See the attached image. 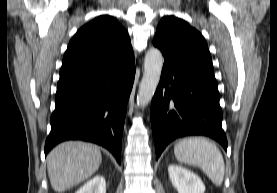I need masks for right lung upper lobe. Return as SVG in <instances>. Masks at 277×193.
Segmentation results:
<instances>
[{"label":"right lung upper lobe","mask_w":277,"mask_h":193,"mask_svg":"<svg viewBox=\"0 0 277 193\" xmlns=\"http://www.w3.org/2000/svg\"><path fill=\"white\" fill-rule=\"evenodd\" d=\"M134 56L130 38L116 18L98 16L81 27L63 57L60 79L93 74Z\"/></svg>","instance_id":"obj_1"}]
</instances>
